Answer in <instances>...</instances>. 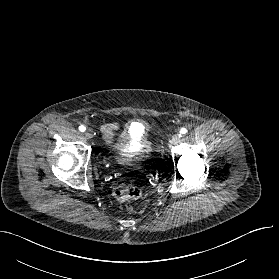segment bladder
Wrapping results in <instances>:
<instances>
[{"instance_id": "1", "label": "bladder", "mask_w": 279, "mask_h": 279, "mask_svg": "<svg viewBox=\"0 0 279 279\" xmlns=\"http://www.w3.org/2000/svg\"><path fill=\"white\" fill-rule=\"evenodd\" d=\"M147 130L144 124L132 122L127 126L123 143L120 147V156H125L130 152L140 149L146 141Z\"/></svg>"}]
</instances>
